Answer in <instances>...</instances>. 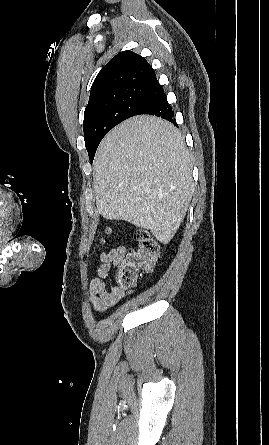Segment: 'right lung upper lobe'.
<instances>
[{"instance_id":"obj_1","label":"right lung upper lobe","mask_w":269,"mask_h":445,"mask_svg":"<svg viewBox=\"0 0 269 445\" xmlns=\"http://www.w3.org/2000/svg\"><path fill=\"white\" fill-rule=\"evenodd\" d=\"M158 85L155 71L145 58L126 50L114 56L98 73L91 87L89 102L117 89Z\"/></svg>"}]
</instances>
